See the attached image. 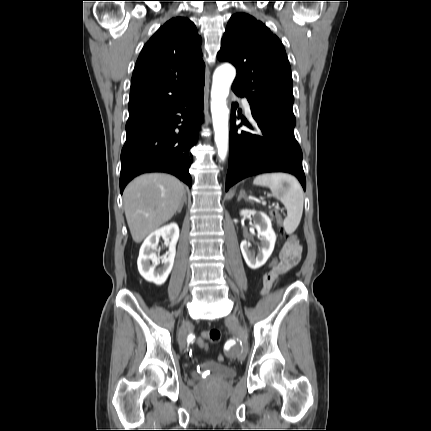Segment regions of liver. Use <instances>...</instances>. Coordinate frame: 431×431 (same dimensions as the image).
<instances>
[{
	"mask_svg": "<svg viewBox=\"0 0 431 431\" xmlns=\"http://www.w3.org/2000/svg\"><path fill=\"white\" fill-rule=\"evenodd\" d=\"M184 193L183 184L168 174H144L130 182L123 193V204L134 242L140 243L169 221Z\"/></svg>",
	"mask_w": 431,
	"mask_h": 431,
	"instance_id": "6515ba94",
	"label": "liver"
}]
</instances>
